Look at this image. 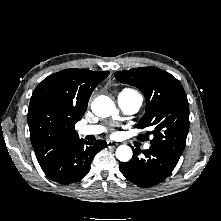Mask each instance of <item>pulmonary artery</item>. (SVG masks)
I'll list each match as a JSON object with an SVG mask.
<instances>
[{"label":"pulmonary artery","instance_id":"obj_1","mask_svg":"<svg viewBox=\"0 0 221 221\" xmlns=\"http://www.w3.org/2000/svg\"><path fill=\"white\" fill-rule=\"evenodd\" d=\"M117 102L124 114L133 115L142 106L143 99L137 93L121 92L118 96ZM103 131L104 127L101 125H85L78 130V133L83 136H88V135H99ZM144 148L149 149L150 144L148 143L145 144Z\"/></svg>","mask_w":221,"mask_h":221}]
</instances>
